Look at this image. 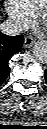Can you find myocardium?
<instances>
[{
  "mask_svg": "<svg viewBox=\"0 0 47 129\" xmlns=\"http://www.w3.org/2000/svg\"><path fill=\"white\" fill-rule=\"evenodd\" d=\"M46 4H47V1L44 3L42 9L39 11V13L36 15V20L37 22H41L43 20V16L46 12Z\"/></svg>",
  "mask_w": 47,
  "mask_h": 129,
  "instance_id": "myocardium-1",
  "label": "myocardium"
}]
</instances>
